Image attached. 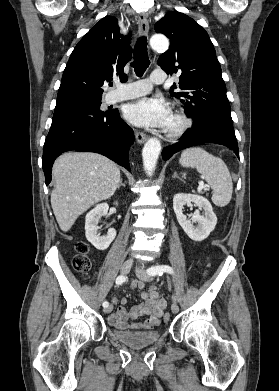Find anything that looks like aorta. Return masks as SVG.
Segmentation results:
<instances>
[{"instance_id": "obj_1", "label": "aorta", "mask_w": 279, "mask_h": 391, "mask_svg": "<svg viewBox=\"0 0 279 391\" xmlns=\"http://www.w3.org/2000/svg\"><path fill=\"white\" fill-rule=\"evenodd\" d=\"M150 45L153 50L162 51L168 48L169 41L163 35H154L150 39ZM160 151L161 143L157 138H150L143 147V165L148 176H152L155 171Z\"/></svg>"}]
</instances>
